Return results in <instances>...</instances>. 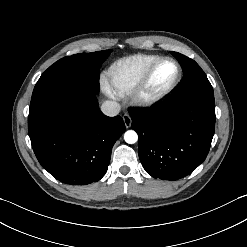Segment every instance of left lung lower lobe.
Returning a JSON list of instances; mask_svg holds the SVG:
<instances>
[{
  "mask_svg": "<svg viewBox=\"0 0 247 247\" xmlns=\"http://www.w3.org/2000/svg\"><path fill=\"white\" fill-rule=\"evenodd\" d=\"M140 161L154 178L175 181L207 157L215 127L214 95L164 100L150 111H131Z\"/></svg>",
  "mask_w": 247,
  "mask_h": 247,
  "instance_id": "obj_1",
  "label": "left lung lower lobe"
}]
</instances>
